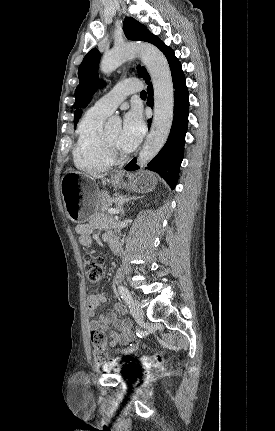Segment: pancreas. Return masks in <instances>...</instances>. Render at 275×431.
Returning a JSON list of instances; mask_svg holds the SVG:
<instances>
[{
	"label": "pancreas",
	"instance_id": "1",
	"mask_svg": "<svg viewBox=\"0 0 275 431\" xmlns=\"http://www.w3.org/2000/svg\"><path fill=\"white\" fill-rule=\"evenodd\" d=\"M112 198L108 195L107 192H101L99 195L98 203L101 205L100 209L104 212L112 205Z\"/></svg>",
	"mask_w": 275,
	"mask_h": 431
}]
</instances>
